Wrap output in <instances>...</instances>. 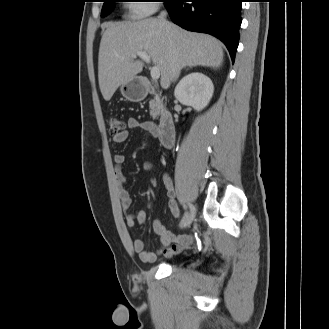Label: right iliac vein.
<instances>
[{
  "instance_id": "1",
  "label": "right iliac vein",
  "mask_w": 329,
  "mask_h": 329,
  "mask_svg": "<svg viewBox=\"0 0 329 329\" xmlns=\"http://www.w3.org/2000/svg\"><path fill=\"white\" fill-rule=\"evenodd\" d=\"M193 218H194V214L192 213L186 214L182 220L181 227L182 228L189 227Z\"/></svg>"
}]
</instances>
